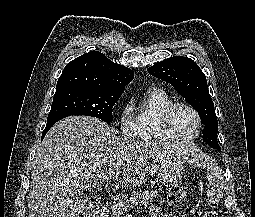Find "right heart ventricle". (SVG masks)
<instances>
[{
  "label": "right heart ventricle",
  "mask_w": 255,
  "mask_h": 217,
  "mask_svg": "<svg viewBox=\"0 0 255 217\" xmlns=\"http://www.w3.org/2000/svg\"><path fill=\"white\" fill-rule=\"evenodd\" d=\"M173 103L171 96L161 88H151L138 105L135 115V137L143 141H168L172 138L164 131L161 116Z\"/></svg>",
  "instance_id": "e07e8e85"
}]
</instances>
